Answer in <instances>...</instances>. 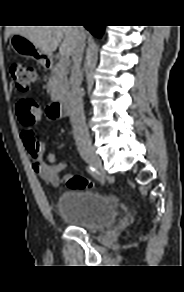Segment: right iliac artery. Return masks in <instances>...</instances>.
<instances>
[{
  "mask_svg": "<svg viewBox=\"0 0 184 292\" xmlns=\"http://www.w3.org/2000/svg\"><path fill=\"white\" fill-rule=\"evenodd\" d=\"M87 171L98 181L105 182V180L102 178L101 174L92 166H88Z\"/></svg>",
  "mask_w": 184,
  "mask_h": 292,
  "instance_id": "right-iliac-artery-1",
  "label": "right iliac artery"
}]
</instances>
